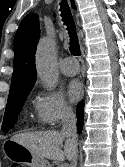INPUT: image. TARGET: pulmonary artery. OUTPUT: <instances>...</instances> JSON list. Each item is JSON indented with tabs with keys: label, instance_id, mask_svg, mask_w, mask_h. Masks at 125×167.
Listing matches in <instances>:
<instances>
[{
	"label": "pulmonary artery",
	"instance_id": "e3ab8cb5",
	"mask_svg": "<svg viewBox=\"0 0 125 167\" xmlns=\"http://www.w3.org/2000/svg\"><path fill=\"white\" fill-rule=\"evenodd\" d=\"M60 70L67 76L76 75L79 72V63L73 57H65L60 63Z\"/></svg>",
	"mask_w": 125,
	"mask_h": 167
}]
</instances>
